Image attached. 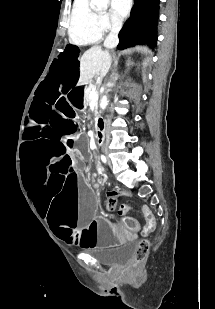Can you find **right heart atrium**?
I'll use <instances>...</instances> for the list:
<instances>
[{"instance_id": "d8ad5b80", "label": "right heart atrium", "mask_w": 215, "mask_h": 309, "mask_svg": "<svg viewBox=\"0 0 215 309\" xmlns=\"http://www.w3.org/2000/svg\"><path fill=\"white\" fill-rule=\"evenodd\" d=\"M100 20L104 29L116 30L119 27V23L114 21L112 14H101Z\"/></svg>"}]
</instances>
